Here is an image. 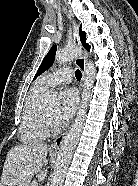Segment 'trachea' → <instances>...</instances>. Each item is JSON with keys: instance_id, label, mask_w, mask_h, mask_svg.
Here are the masks:
<instances>
[{"instance_id": "1", "label": "trachea", "mask_w": 138, "mask_h": 186, "mask_svg": "<svg viewBox=\"0 0 138 186\" xmlns=\"http://www.w3.org/2000/svg\"><path fill=\"white\" fill-rule=\"evenodd\" d=\"M75 76H76L77 80H80L81 77H82V73H81V71H80V70H76V74H75Z\"/></svg>"}]
</instances>
